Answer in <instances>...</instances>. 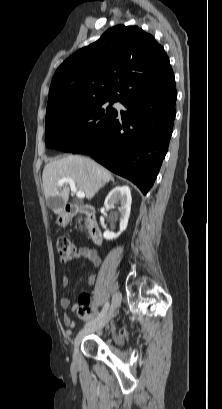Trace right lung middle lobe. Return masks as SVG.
Masks as SVG:
<instances>
[{"mask_svg": "<svg viewBox=\"0 0 222 409\" xmlns=\"http://www.w3.org/2000/svg\"><path fill=\"white\" fill-rule=\"evenodd\" d=\"M106 101L71 104L46 113L45 141L49 148L84 153L106 137L116 110Z\"/></svg>", "mask_w": 222, "mask_h": 409, "instance_id": "dd1d6c3e", "label": "right lung middle lobe"}]
</instances>
